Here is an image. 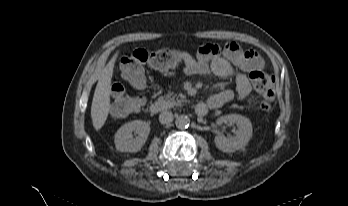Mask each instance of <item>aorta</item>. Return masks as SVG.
<instances>
[{"label":"aorta","instance_id":"762f6f07","mask_svg":"<svg viewBox=\"0 0 348 206\" xmlns=\"http://www.w3.org/2000/svg\"><path fill=\"white\" fill-rule=\"evenodd\" d=\"M190 119L185 115H180L175 120V125L178 129H185L189 126Z\"/></svg>","mask_w":348,"mask_h":206}]
</instances>
